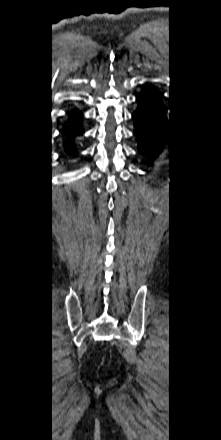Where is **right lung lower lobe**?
Listing matches in <instances>:
<instances>
[{
	"mask_svg": "<svg viewBox=\"0 0 221 440\" xmlns=\"http://www.w3.org/2000/svg\"><path fill=\"white\" fill-rule=\"evenodd\" d=\"M81 113L78 111L72 112L70 116V120L67 124V136L68 140L66 141V147L69 152H74V147L72 145V140L76 135H80L83 132L82 126L79 122L81 118Z\"/></svg>",
	"mask_w": 221,
	"mask_h": 440,
	"instance_id": "right-lung-lower-lobe-1",
	"label": "right lung lower lobe"
}]
</instances>
